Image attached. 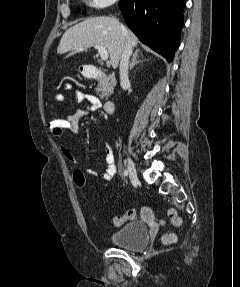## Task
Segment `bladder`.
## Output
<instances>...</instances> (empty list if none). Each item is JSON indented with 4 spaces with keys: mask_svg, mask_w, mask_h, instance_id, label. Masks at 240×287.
Wrapping results in <instances>:
<instances>
[{
    "mask_svg": "<svg viewBox=\"0 0 240 287\" xmlns=\"http://www.w3.org/2000/svg\"><path fill=\"white\" fill-rule=\"evenodd\" d=\"M109 239L115 246L137 251L148 244L149 232L143 222H130L114 231Z\"/></svg>",
    "mask_w": 240,
    "mask_h": 287,
    "instance_id": "1",
    "label": "bladder"
}]
</instances>
